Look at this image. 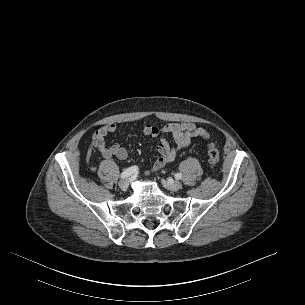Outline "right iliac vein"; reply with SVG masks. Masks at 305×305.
<instances>
[{
	"instance_id": "right-iliac-vein-1",
	"label": "right iliac vein",
	"mask_w": 305,
	"mask_h": 305,
	"mask_svg": "<svg viewBox=\"0 0 305 305\" xmlns=\"http://www.w3.org/2000/svg\"><path fill=\"white\" fill-rule=\"evenodd\" d=\"M118 186L122 191H126L129 186V179L125 178L120 180Z\"/></svg>"
}]
</instances>
